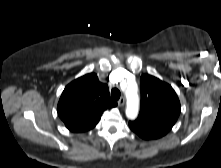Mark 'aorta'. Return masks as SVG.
<instances>
[{"label":"aorta","mask_w":221,"mask_h":168,"mask_svg":"<svg viewBox=\"0 0 221 168\" xmlns=\"http://www.w3.org/2000/svg\"><path fill=\"white\" fill-rule=\"evenodd\" d=\"M127 97L126 116L129 119H135L139 111V96L137 93V85L130 82L128 88L125 90Z\"/></svg>","instance_id":"aorta-1"}]
</instances>
